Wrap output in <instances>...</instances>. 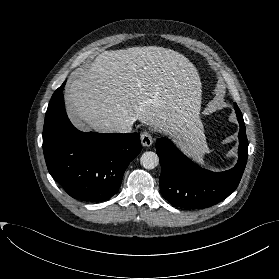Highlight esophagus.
<instances>
[{
  "instance_id": "obj_1",
  "label": "esophagus",
  "mask_w": 279,
  "mask_h": 279,
  "mask_svg": "<svg viewBox=\"0 0 279 279\" xmlns=\"http://www.w3.org/2000/svg\"><path fill=\"white\" fill-rule=\"evenodd\" d=\"M153 143V137L149 131H144L141 134V144L145 147H150Z\"/></svg>"
}]
</instances>
